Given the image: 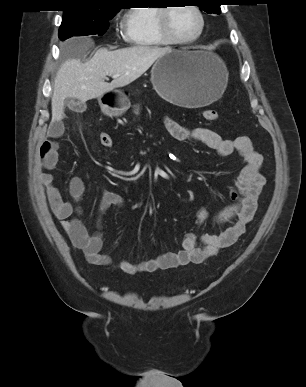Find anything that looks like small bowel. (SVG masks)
I'll list each match as a JSON object with an SVG mask.
<instances>
[{
  "label": "small bowel",
  "mask_w": 306,
  "mask_h": 387,
  "mask_svg": "<svg viewBox=\"0 0 306 387\" xmlns=\"http://www.w3.org/2000/svg\"><path fill=\"white\" fill-rule=\"evenodd\" d=\"M165 125L170 135L180 142L196 141L217 152L221 157L238 153L244 161L236 188L230 191L233 203L215 216L217 223H229V226L218 234H203L195 232L185 235L182 250L166 252L139 263L121 260L117 267L122 272L134 275L138 273H153L160 270L201 264L216 255L219 250L234 244L246 231V226L253 219L257 210L258 197L265 184V178L260 172L262 155L255 149L253 142L247 136L233 140L223 139L217 132L207 127H185L171 118L165 119ZM61 121L50 125L48 138L39 149L38 179L45 187L49 206L57 219L60 220L72 244L80 249L89 263L108 266L112 264L110 256L101 252L103 240L101 233L90 234L78 215V202L85 192L82 178L74 176L69 181L70 200L64 199L60 190L53 185L54 170L58 163L56 139L63 133ZM125 200L121 194L108 191L100 201L99 210L103 216L111 207H123ZM209 219L206 209H201L197 216L198 226Z\"/></svg>",
  "instance_id": "1"
}]
</instances>
